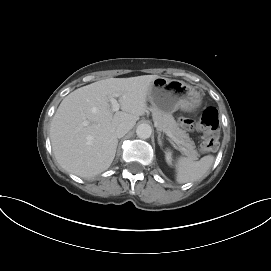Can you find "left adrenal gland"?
I'll list each match as a JSON object with an SVG mask.
<instances>
[{"instance_id":"obj_1","label":"left adrenal gland","mask_w":271,"mask_h":271,"mask_svg":"<svg viewBox=\"0 0 271 271\" xmlns=\"http://www.w3.org/2000/svg\"><path fill=\"white\" fill-rule=\"evenodd\" d=\"M157 139H158V144H159V146L162 147V146H163V144H162V136H161V133H160V132H158V137H157Z\"/></svg>"}]
</instances>
